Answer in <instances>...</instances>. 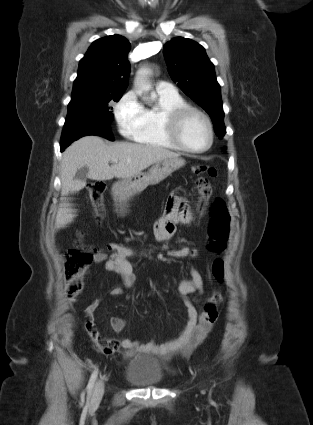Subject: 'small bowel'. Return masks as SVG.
<instances>
[{
  "label": "small bowel",
  "instance_id": "1",
  "mask_svg": "<svg viewBox=\"0 0 313 425\" xmlns=\"http://www.w3.org/2000/svg\"><path fill=\"white\" fill-rule=\"evenodd\" d=\"M192 219V212L186 200L177 193H173L168 199L162 217L155 225V236L159 241H168L173 236L178 224H187ZM108 250L111 252L110 255L96 251L93 258L95 263H104L106 271L114 272L120 276L122 284L109 291L110 295L118 296L123 293L124 289L132 288L135 285L134 268L129 261V258L135 252L119 243H110ZM192 253L193 251L190 248L183 247L171 250L169 255L173 258L183 259ZM189 275L190 278L181 281L177 287V292L184 299L187 309V320L178 337L162 344H158L155 340L143 342L126 338L106 339L99 332L94 319V312L101 301V299H97L83 310V328L91 343L106 355H111L119 350H123L127 355L135 352H152L166 356L180 352L184 356L189 355L206 338L218 316L217 306L212 303L210 298L205 302L201 312H198L193 301L187 298L188 295L201 294L203 291V278L200 272L191 267ZM68 301L71 305L79 303L76 297H70ZM110 324L114 332H121L126 326V321L119 317H112Z\"/></svg>",
  "mask_w": 313,
  "mask_h": 425
}]
</instances>
